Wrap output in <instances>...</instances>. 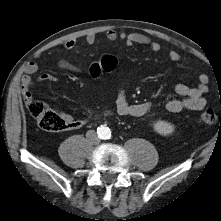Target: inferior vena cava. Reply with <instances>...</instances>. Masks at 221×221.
<instances>
[{
  "instance_id": "inferior-vena-cava-1",
  "label": "inferior vena cava",
  "mask_w": 221,
  "mask_h": 221,
  "mask_svg": "<svg viewBox=\"0 0 221 221\" xmlns=\"http://www.w3.org/2000/svg\"><path fill=\"white\" fill-rule=\"evenodd\" d=\"M86 137L88 138V140L92 144H98L100 142V139H99V137L97 136V134L95 133L94 130L87 131Z\"/></svg>"
}]
</instances>
